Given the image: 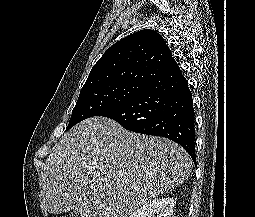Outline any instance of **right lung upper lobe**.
I'll use <instances>...</instances> for the list:
<instances>
[{"label": "right lung upper lobe", "instance_id": "cb5924a9", "mask_svg": "<svg viewBox=\"0 0 255 217\" xmlns=\"http://www.w3.org/2000/svg\"><path fill=\"white\" fill-rule=\"evenodd\" d=\"M178 69L163 37L144 29L113 44L93 66L81 92L111 84L148 85Z\"/></svg>", "mask_w": 255, "mask_h": 217}]
</instances>
